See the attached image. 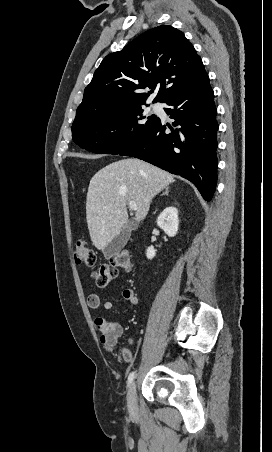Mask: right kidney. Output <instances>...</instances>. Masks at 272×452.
<instances>
[{
	"label": "right kidney",
	"instance_id": "1",
	"mask_svg": "<svg viewBox=\"0 0 272 452\" xmlns=\"http://www.w3.org/2000/svg\"><path fill=\"white\" fill-rule=\"evenodd\" d=\"M157 225L169 236L174 237L179 228L178 210L175 207L165 208L157 218ZM156 251L153 246H149L146 251L148 259L154 258Z\"/></svg>",
	"mask_w": 272,
	"mask_h": 452
}]
</instances>
